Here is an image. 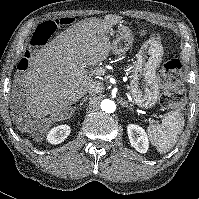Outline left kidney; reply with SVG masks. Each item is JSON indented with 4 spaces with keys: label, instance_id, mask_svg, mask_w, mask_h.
<instances>
[{
    "label": "left kidney",
    "instance_id": "5707ae66",
    "mask_svg": "<svg viewBox=\"0 0 199 199\" xmlns=\"http://www.w3.org/2000/svg\"><path fill=\"white\" fill-rule=\"evenodd\" d=\"M128 137L131 145L140 153H146L149 147L148 136L145 130L135 124L127 126Z\"/></svg>",
    "mask_w": 199,
    "mask_h": 199
}]
</instances>
